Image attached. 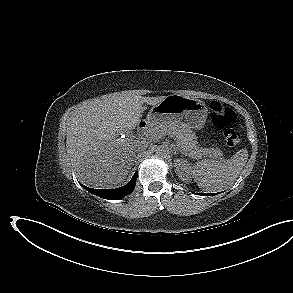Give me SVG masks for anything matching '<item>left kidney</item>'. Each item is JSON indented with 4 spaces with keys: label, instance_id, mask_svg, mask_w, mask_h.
Listing matches in <instances>:
<instances>
[{
    "label": "left kidney",
    "instance_id": "1",
    "mask_svg": "<svg viewBox=\"0 0 293 293\" xmlns=\"http://www.w3.org/2000/svg\"><path fill=\"white\" fill-rule=\"evenodd\" d=\"M174 162L175 172L178 177L184 182H189L191 166L188 161L185 159H176Z\"/></svg>",
    "mask_w": 293,
    "mask_h": 293
}]
</instances>
